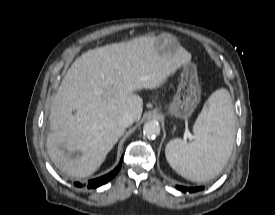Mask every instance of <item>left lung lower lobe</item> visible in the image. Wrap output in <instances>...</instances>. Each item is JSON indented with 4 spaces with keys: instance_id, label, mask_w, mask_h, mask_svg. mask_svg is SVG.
<instances>
[{
    "instance_id": "0a47b994",
    "label": "left lung lower lobe",
    "mask_w": 275,
    "mask_h": 215,
    "mask_svg": "<svg viewBox=\"0 0 275 215\" xmlns=\"http://www.w3.org/2000/svg\"><path fill=\"white\" fill-rule=\"evenodd\" d=\"M177 189L181 190L182 192H197V191H201L204 189V187H194V188H190V187H183V186H176Z\"/></svg>"
}]
</instances>
